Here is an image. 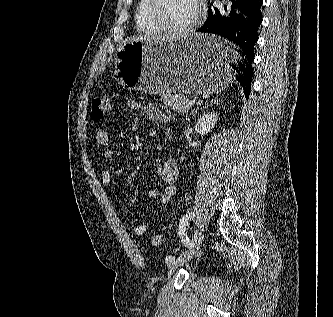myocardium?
<instances>
[{
  "mask_svg": "<svg viewBox=\"0 0 333 317\" xmlns=\"http://www.w3.org/2000/svg\"><path fill=\"white\" fill-rule=\"evenodd\" d=\"M159 0H148L147 11L152 22L162 31L174 35H187L195 31L201 22L204 13L203 0H195L196 3V14L194 19L187 26L175 27L169 25L161 19L157 12Z\"/></svg>",
  "mask_w": 333,
  "mask_h": 317,
  "instance_id": "myocardium-1",
  "label": "myocardium"
}]
</instances>
